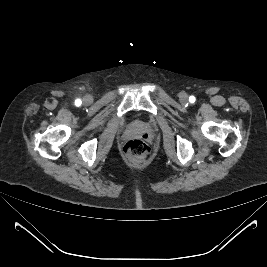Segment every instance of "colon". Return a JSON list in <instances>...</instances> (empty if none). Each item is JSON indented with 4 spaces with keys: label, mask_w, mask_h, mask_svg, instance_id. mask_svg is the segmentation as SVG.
Returning a JSON list of instances; mask_svg holds the SVG:
<instances>
[{
    "label": "colon",
    "mask_w": 267,
    "mask_h": 267,
    "mask_svg": "<svg viewBox=\"0 0 267 267\" xmlns=\"http://www.w3.org/2000/svg\"><path fill=\"white\" fill-rule=\"evenodd\" d=\"M125 156L133 162H146L151 155L149 146L140 139H132L124 145Z\"/></svg>",
    "instance_id": "obj_1"
}]
</instances>
